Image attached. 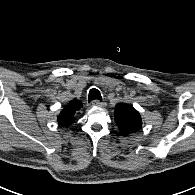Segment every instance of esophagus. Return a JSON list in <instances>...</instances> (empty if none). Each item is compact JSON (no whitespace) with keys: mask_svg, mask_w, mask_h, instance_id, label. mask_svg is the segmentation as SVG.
Instances as JSON below:
<instances>
[{"mask_svg":"<svg viewBox=\"0 0 195 195\" xmlns=\"http://www.w3.org/2000/svg\"><path fill=\"white\" fill-rule=\"evenodd\" d=\"M92 105H93V106H97V107H103V106H105V103H104V102H101V101H99V100H94V101L92 102Z\"/></svg>","mask_w":195,"mask_h":195,"instance_id":"obj_1","label":"esophagus"}]
</instances>
